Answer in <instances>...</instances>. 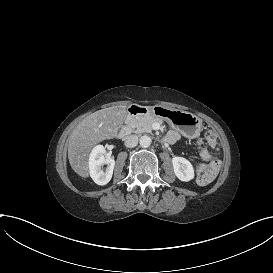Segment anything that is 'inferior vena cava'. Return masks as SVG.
I'll return each instance as SVG.
<instances>
[{
    "label": "inferior vena cava",
    "mask_w": 273,
    "mask_h": 273,
    "mask_svg": "<svg viewBox=\"0 0 273 273\" xmlns=\"http://www.w3.org/2000/svg\"><path fill=\"white\" fill-rule=\"evenodd\" d=\"M125 146L128 148H133L138 144V136L137 135H128L125 138L124 142Z\"/></svg>",
    "instance_id": "1"
}]
</instances>
